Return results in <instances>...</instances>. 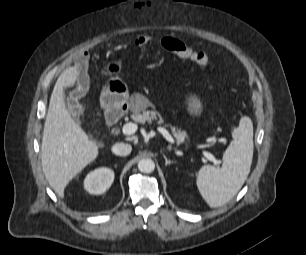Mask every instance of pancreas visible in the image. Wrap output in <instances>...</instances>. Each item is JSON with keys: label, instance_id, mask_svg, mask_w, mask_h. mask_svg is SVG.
Wrapping results in <instances>:
<instances>
[{"label": "pancreas", "instance_id": "cf45deb5", "mask_svg": "<svg viewBox=\"0 0 306 255\" xmlns=\"http://www.w3.org/2000/svg\"><path fill=\"white\" fill-rule=\"evenodd\" d=\"M141 103L138 104L137 106L132 108L133 114H132V119L135 122L141 123V124H151L153 121H156L158 125L164 124L165 121L154 108L152 110H146L147 106L149 105V102L147 99L144 97H141ZM172 134L176 138V140L180 143L183 142L184 139L187 137L186 131H181L178 128H175L170 125Z\"/></svg>", "mask_w": 306, "mask_h": 255}]
</instances>
